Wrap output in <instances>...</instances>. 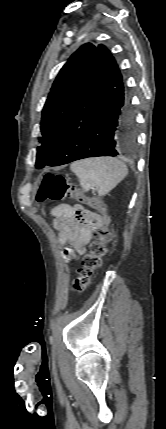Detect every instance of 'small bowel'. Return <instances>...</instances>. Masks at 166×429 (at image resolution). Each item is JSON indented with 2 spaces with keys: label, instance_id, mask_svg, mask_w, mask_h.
<instances>
[{
  "label": "small bowel",
  "instance_id": "small-bowel-1",
  "mask_svg": "<svg viewBox=\"0 0 166 429\" xmlns=\"http://www.w3.org/2000/svg\"><path fill=\"white\" fill-rule=\"evenodd\" d=\"M51 214L58 242L67 247L63 250L66 260H76L86 253L93 231L102 226L100 216L80 205L60 204Z\"/></svg>",
  "mask_w": 166,
  "mask_h": 429
}]
</instances>
